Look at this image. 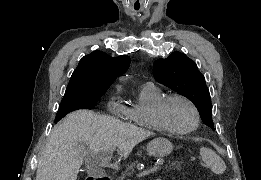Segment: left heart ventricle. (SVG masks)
<instances>
[{
    "instance_id": "obj_1",
    "label": "left heart ventricle",
    "mask_w": 261,
    "mask_h": 180,
    "mask_svg": "<svg viewBox=\"0 0 261 180\" xmlns=\"http://www.w3.org/2000/svg\"><path fill=\"white\" fill-rule=\"evenodd\" d=\"M160 119L173 130H185L193 123V112L183 102H172L159 112Z\"/></svg>"
}]
</instances>
